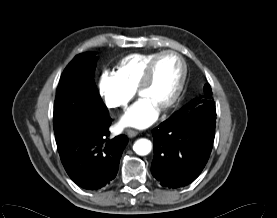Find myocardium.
I'll use <instances>...</instances> for the list:
<instances>
[{"label":"myocardium","instance_id":"1","mask_svg":"<svg viewBox=\"0 0 277 218\" xmlns=\"http://www.w3.org/2000/svg\"><path fill=\"white\" fill-rule=\"evenodd\" d=\"M167 55H173L179 60L181 67H182V72H181L179 84H178L174 94L163 106L160 107L161 110H167V109L171 108L172 106H174L175 103L179 100V98L185 88L187 75H188V67H187V63H186L184 57L180 53L173 51V50H164V51L159 52L149 62L148 66L146 67V70L144 72V75L141 78L139 85H138V93L141 94L142 90L145 87H147L149 85V83L151 82L153 75H154V70H155L156 64L162 57L167 56Z\"/></svg>","mask_w":277,"mask_h":218}]
</instances>
